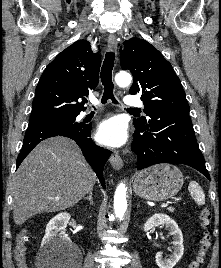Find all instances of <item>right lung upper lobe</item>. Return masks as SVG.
<instances>
[{
    "label": "right lung upper lobe",
    "mask_w": 221,
    "mask_h": 268,
    "mask_svg": "<svg viewBox=\"0 0 221 268\" xmlns=\"http://www.w3.org/2000/svg\"><path fill=\"white\" fill-rule=\"evenodd\" d=\"M101 57L79 40L63 50L44 70L35 90L30 121H45L85 110L79 99L97 87Z\"/></svg>",
    "instance_id": "obj_1"
}]
</instances>
